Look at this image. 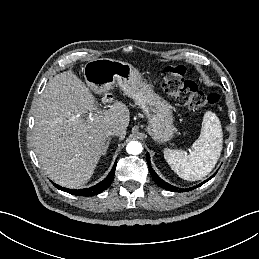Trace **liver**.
I'll return each instance as SVG.
<instances>
[{
    "label": "liver",
    "mask_w": 259,
    "mask_h": 259,
    "mask_svg": "<svg viewBox=\"0 0 259 259\" xmlns=\"http://www.w3.org/2000/svg\"><path fill=\"white\" fill-rule=\"evenodd\" d=\"M34 117L39 162L52 181L68 188L90 180L104 155L106 131L117 127L123 139L130 121L129 109L122 102L98 111L89 88L71 70L49 80Z\"/></svg>",
    "instance_id": "1"
}]
</instances>
